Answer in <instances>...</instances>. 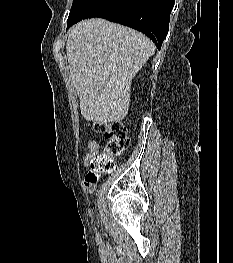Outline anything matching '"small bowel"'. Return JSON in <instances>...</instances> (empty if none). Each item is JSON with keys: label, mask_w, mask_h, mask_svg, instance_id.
<instances>
[{"label": "small bowel", "mask_w": 233, "mask_h": 263, "mask_svg": "<svg viewBox=\"0 0 233 263\" xmlns=\"http://www.w3.org/2000/svg\"><path fill=\"white\" fill-rule=\"evenodd\" d=\"M100 150V145L98 141L96 140H90L87 143V153L84 156L82 163L84 166H90L91 162L94 160V158L98 155ZM86 188L92 192L95 189V183H88L85 181Z\"/></svg>", "instance_id": "obj_1"}]
</instances>
